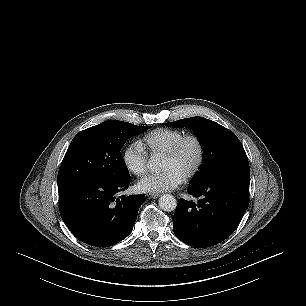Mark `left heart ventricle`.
<instances>
[{
  "instance_id": "left-heart-ventricle-1",
  "label": "left heart ventricle",
  "mask_w": 306,
  "mask_h": 306,
  "mask_svg": "<svg viewBox=\"0 0 306 306\" xmlns=\"http://www.w3.org/2000/svg\"><path fill=\"white\" fill-rule=\"evenodd\" d=\"M198 157V149L193 141H187L173 158H162L163 170L173 169L183 178L193 169Z\"/></svg>"
}]
</instances>
